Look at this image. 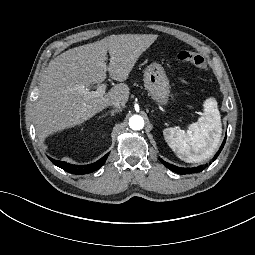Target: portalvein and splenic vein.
<instances>
[{
  "instance_id": "1",
  "label": "portal vein and splenic vein",
  "mask_w": 255,
  "mask_h": 255,
  "mask_svg": "<svg viewBox=\"0 0 255 255\" xmlns=\"http://www.w3.org/2000/svg\"><path fill=\"white\" fill-rule=\"evenodd\" d=\"M107 87L108 83H103L97 87V91L90 92L85 88H80V91L84 93L85 98H94L104 95Z\"/></svg>"
}]
</instances>
